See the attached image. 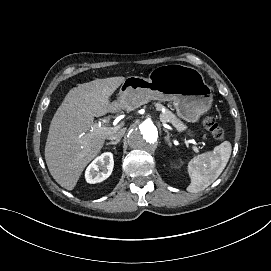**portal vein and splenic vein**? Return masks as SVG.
Returning <instances> with one entry per match:
<instances>
[{
	"label": "portal vein and splenic vein",
	"mask_w": 271,
	"mask_h": 271,
	"mask_svg": "<svg viewBox=\"0 0 271 271\" xmlns=\"http://www.w3.org/2000/svg\"><path fill=\"white\" fill-rule=\"evenodd\" d=\"M113 128L111 127H102L99 124H94L91 127L90 132L93 133L94 135H109L112 132ZM85 133H82L79 135V137L81 138ZM193 150L195 152H198V149L196 146H193Z\"/></svg>",
	"instance_id": "1"
}]
</instances>
